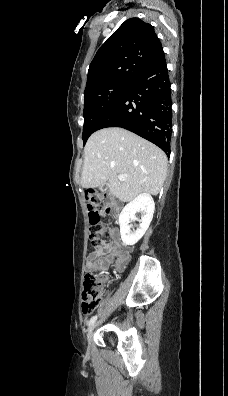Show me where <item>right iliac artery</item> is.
Here are the masks:
<instances>
[{
  "label": "right iliac artery",
  "instance_id": "right-iliac-artery-1",
  "mask_svg": "<svg viewBox=\"0 0 228 396\" xmlns=\"http://www.w3.org/2000/svg\"><path fill=\"white\" fill-rule=\"evenodd\" d=\"M96 320H97V315L93 316V317L89 320L88 325L91 326Z\"/></svg>",
  "mask_w": 228,
  "mask_h": 396
}]
</instances>
